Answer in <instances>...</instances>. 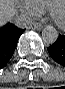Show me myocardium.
I'll use <instances>...</instances> for the list:
<instances>
[{
    "instance_id": "1",
    "label": "myocardium",
    "mask_w": 65,
    "mask_h": 89,
    "mask_svg": "<svg viewBox=\"0 0 65 89\" xmlns=\"http://www.w3.org/2000/svg\"><path fill=\"white\" fill-rule=\"evenodd\" d=\"M60 7L65 8V5L55 3L54 5L51 6V8L49 10V14H50L52 21L59 27L63 28V27H65V15L63 18L59 17L58 12H59Z\"/></svg>"
}]
</instances>
